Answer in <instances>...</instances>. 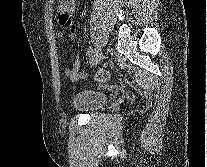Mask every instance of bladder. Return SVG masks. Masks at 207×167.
<instances>
[{
  "instance_id": "31cf9c89",
  "label": "bladder",
  "mask_w": 207,
  "mask_h": 167,
  "mask_svg": "<svg viewBox=\"0 0 207 167\" xmlns=\"http://www.w3.org/2000/svg\"><path fill=\"white\" fill-rule=\"evenodd\" d=\"M109 100L107 93L87 89L77 93L71 101L72 107L79 112H92L104 106Z\"/></svg>"
}]
</instances>
